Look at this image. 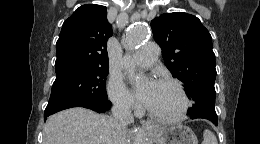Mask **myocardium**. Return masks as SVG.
<instances>
[{
    "mask_svg": "<svg viewBox=\"0 0 260 144\" xmlns=\"http://www.w3.org/2000/svg\"><path fill=\"white\" fill-rule=\"evenodd\" d=\"M158 82L169 84L177 90V92L179 93L182 99V103H183L182 108L175 115H163V114L156 113L152 111L149 107H147L148 115L155 120L165 122V123H175V122L182 121L187 116L191 106L190 99L188 97V94L183 84L179 80L170 77L161 78L158 80Z\"/></svg>",
    "mask_w": 260,
    "mask_h": 144,
    "instance_id": "obj_1",
    "label": "myocardium"
}]
</instances>
